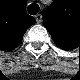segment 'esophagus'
Returning a JSON list of instances; mask_svg holds the SVG:
<instances>
[{"label":"esophagus","mask_w":80,"mask_h":80,"mask_svg":"<svg viewBox=\"0 0 80 80\" xmlns=\"http://www.w3.org/2000/svg\"><path fill=\"white\" fill-rule=\"evenodd\" d=\"M35 19H36V22H37V23H40V22L42 21V15H41V14H37V15L35 16Z\"/></svg>","instance_id":"34e87169"}]
</instances>
